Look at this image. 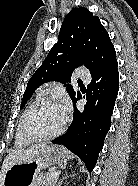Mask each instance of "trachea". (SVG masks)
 Returning <instances> with one entry per match:
<instances>
[{
    "label": "trachea",
    "instance_id": "3493384b",
    "mask_svg": "<svg viewBox=\"0 0 138 186\" xmlns=\"http://www.w3.org/2000/svg\"><path fill=\"white\" fill-rule=\"evenodd\" d=\"M78 82H79V83H82V81H80V80H79Z\"/></svg>",
    "mask_w": 138,
    "mask_h": 186
}]
</instances>
